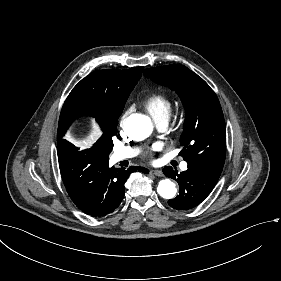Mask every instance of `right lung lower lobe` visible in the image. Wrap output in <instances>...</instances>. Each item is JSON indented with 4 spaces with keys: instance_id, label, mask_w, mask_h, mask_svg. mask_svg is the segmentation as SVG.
Here are the masks:
<instances>
[{
    "instance_id": "98d812e1",
    "label": "right lung lower lobe",
    "mask_w": 281,
    "mask_h": 281,
    "mask_svg": "<svg viewBox=\"0 0 281 281\" xmlns=\"http://www.w3.org/2000/svg\"><path fill=\"white\" fill-rule=\"evenodd\" d=\"M59 166L66 190L83 212L92 216L112 213L124 197V183L135 170L143 167L116 169L96 148L80 151L70 142L57 141Z\"/></svg>"
}]
</instances>
